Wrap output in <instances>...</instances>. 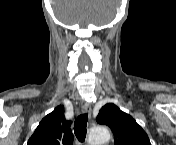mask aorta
<instances>
[{
    "instance_id": "obj_1",
    "label": "aorta",
    "mask_w": 176,
    "mask_h": 145,
    "mask_svg": "<svg viewBox=\"0 0 176 145\" xmlns=\"http://www.w3.org/2000/svg\"><path fill=\"white\" fill-rule=\"evenodd\" d=\"M111 138L109 130L105 126H94L90 129L88 142L90 145H103Z\"/></svg>"
}]
</instances>
